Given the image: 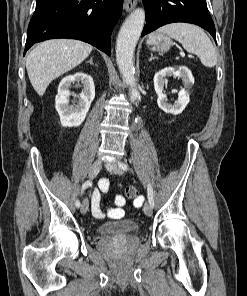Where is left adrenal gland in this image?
<instances>
[{
    "instance_id": "1",
    "label": "left adrenal gland",
    "mask_w": 247,
    "mask_h": 296,
    "mask_svg": "<svg viewBox=\"0 0 247 296\" xmlns=\"http://www.w3.org/2000/svg\"><path fill=\"white\" fill-rule=\"evenodd\" d=\"M153 59H158V58L154 57L153 54L151 53V57L149 58V61H152Z\"/></svg>"
}]
</instances>
